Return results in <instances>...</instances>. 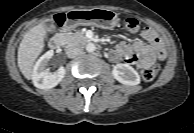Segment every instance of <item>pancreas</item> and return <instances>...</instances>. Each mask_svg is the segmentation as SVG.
<instances>
[{
	"label": "pancreas",
	"mask_w": 194,
	"mask_h": 133,
	"mask_svg": "<svg viewBox=\"0 0 194 133\" xmlns=\"http://www.w3.org/2000/svg\"><path fill=\"white\" fill-rule=\"evenodd\" d=\"M63 39L67 46H77L80 44H84L88 41L82 31L69 32L67 34H63Z\"/></svg>",
	"instance_id": "cf45deb5"
}]
</instances>
